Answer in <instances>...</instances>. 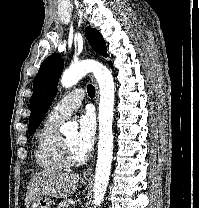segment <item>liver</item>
<instances>
[{
	"label": "liver",
	"instance_id": "obj_1",
	"mask_svg": "<svg viewBox=\"0 0 199 208\" xmlns=\"http://www.w3.org/2000/svg\"><path fill=\"white\" fill-rule=\"evenodd\" d=\"M79 175L76 173H62L42 171L34 174L27 187L25 206L42 196L67 198L77 189Z\"/></svg>",
	"mask_w": 199,
	"mask_h": 208
}]
</instances>
